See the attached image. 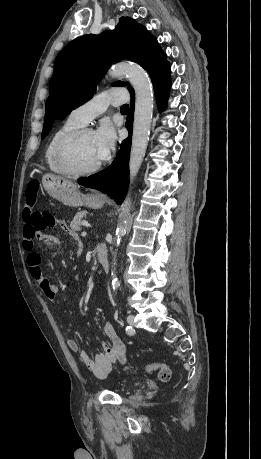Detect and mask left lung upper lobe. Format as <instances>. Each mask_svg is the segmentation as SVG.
Masks as SVG:
<instances>
[{
  "label": "left lung upper lobe",
  "instance_id": "left-lung-upper-lobe-1",
  "mask_svg": "<svg viewBox=\"0 0 261 459\" xmlns=\"http://www.w3.org/2000/svg\"><path fill=\"white\" fill-rule=\"evenodd\" d=\"M127 58L142 66L152 79L168 65L157 39L134 19L121 17L112 31L85 35L70 42L56 57L45 105L42 139L54 120L65 118L73 109L92 98L112 63ZM113 86L129 85L118 81ZM129 91H134L128 87Z\"/></svg>",
  "mask_w": 261,
  "mask_h": 459
}]
</instances>
